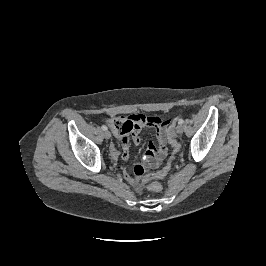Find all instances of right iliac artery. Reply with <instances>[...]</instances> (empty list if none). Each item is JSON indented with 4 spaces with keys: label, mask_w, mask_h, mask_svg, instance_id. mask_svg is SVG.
I'll return each instance as SVG.
<instances>
[{
    "label": "right iliac artery",
    "mask_w": 266,
    "mask_h": 266,
    "mask_svg": "<svg viewBox=\"0 0 266 266\" xmlns=\"http://www.w3.org/2000/svg\"><path fill=\"white\" fill-rule=\"evenodd\" d=\"M101 128H102L103 131L107 130V127L105 125H102Z\"/></svg>",
    "instance_id": "1"
}]
</instances>
